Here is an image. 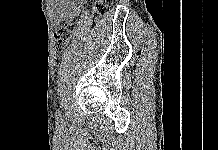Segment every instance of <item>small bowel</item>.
I'll use <instances>...</instances> for the list:
<instances>
[{
  "instance_id": "c3829d8e",
  "label": "small bowel",
  "mask_w": 218,
  "mask_h": 150,
  "mask_svg": "<svg viewBox=\"0 0 218 150\" xmlns=\"http://www.w3.org/2000/svg\"><path fill=\"white\" fill-rule=\"evenodd\" d=\"M57 22L71 20L79 11L82 0H51Z\"/></svg>"
}]
</instances>
